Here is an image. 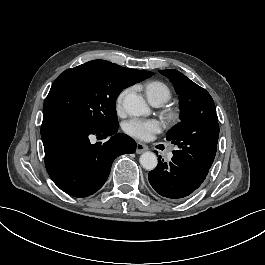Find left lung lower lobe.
Returning a JSON list of instances; mask_svg holds the SVG:
<instances>
[{
  "instance_id": "0a47b994",
  "label": "left lung lower lobe",
  "mask_w": 265,
  "mask_h": 265,
  "mask_svg": "<svg viewBox=\"0 0 265 265\" xmlns=\"http://www.w3.org/2000/svg\"><path fill=\"white\" fill-rule=\"evenodd\" d=\"M206 176L183 159L173 156L170 163L159 160L157 167L149 172L148 179L161 196L181 200L198 189Z\"/></svg>"
}]
</instances>
